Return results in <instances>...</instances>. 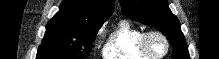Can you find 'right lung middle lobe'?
<instances>
[{"label":"right lung middle lobe","instance_id":"1","mask_svg":"<svg viewBox=\"0 0 219 59\" xmlns=\"http://www.w3.org/2000/svg\"><path fill=\"white\" fill-rule=\"evenodd\" d=\"M100 27L49 21L36 59H85Z\"/></svg>","mask_w":219,"mask_h":59}]
</instances>
